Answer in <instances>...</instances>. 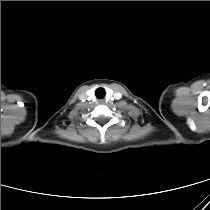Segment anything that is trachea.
<instances>
[{"label":"trachea","instance_id":"trachea-1","mask_svg":"<svg viewBox=\"0 0 210 210\" xmlns=\"http://www.w3.org/2000/svg\"><path fill=\"white\" fill-rule=\"evenodd\" d=\"M95 95L98 99H103L105 97V90L103 88H98Z\"/></svg>","mask_w":210,"mask_h":210}]
</instances>
